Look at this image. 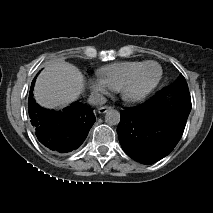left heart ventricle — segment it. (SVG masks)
I'll return each instance as SVG.
<instances>
[{"label":"left heart ventricle","mask_w":213,"mask_h":213,"mask_svg":"<svg viewBox=\"0 0 213 213\" xmlns=\"http://www.w3.org/2000/svg\"><path fill=\"white\" fill-rule=\"evenodd\" d=\"M157 75V67L154 65H147L140 71L134 83L130 86L128 93L130 95H136L145 91L154 83Z\"/></svg>","instance_id":"obj_1"}]
</instances>
